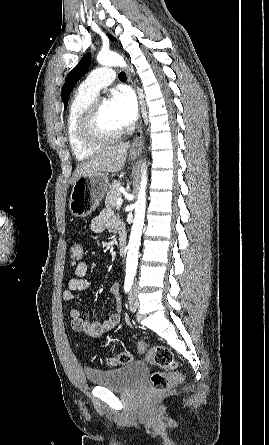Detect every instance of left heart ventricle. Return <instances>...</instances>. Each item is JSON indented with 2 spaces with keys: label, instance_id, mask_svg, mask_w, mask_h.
<instances>
[{
  "label": "left heart ventricle",
  "instance_id": "left-heart-ventricle-1",
  "mask_svg": "<svg viewBox=\"0 0 269 445\" xmlns=\"http://www.w3.org/2000/svg\"><path fill=\"white\" fill-rule=\"evenodd\" d=\"M99 121L101 127L106 131L113 132L122 129L112 113L109 102H102L100 106Z\"/></svg>",
  "mask_w": 269,
  "mask_h": 445
}]
</instances>
